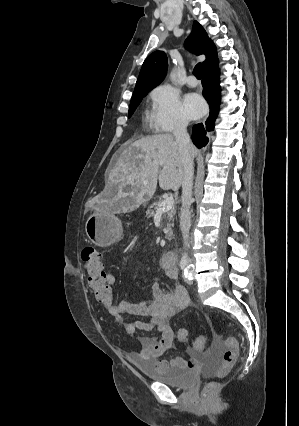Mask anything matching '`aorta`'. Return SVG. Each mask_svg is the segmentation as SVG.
Returning <instances> with one entry per match:
<instances>
[{
	"instance_id": "obj_1",
	"label": "aorta",
	"mask_w": 299,
	"mask_h": 426,
	"mask_svg": "<svg viewBox=\"0 0 299 426\" xmlns=\"http://www.w3.org/2000/svg\"><path fill=\"white\" fill-rule=\"evenodd\" d=\"M170 79H171V81H172L173 83H176L177 75H176V71H175V70H173V71L171 72V74H170ZM182 259L186 260V259H187V256L184 254V255H183V257H182Z\"/></svg>"
}]
</instances>
